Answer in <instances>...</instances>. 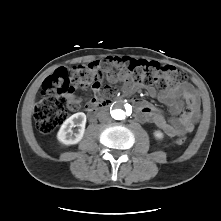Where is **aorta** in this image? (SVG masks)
Wrapping results in <instances>:
<instances>
[{"mask_svg": "<svg viewBox=\"0 0 221 221\" xmlns=\"http://www.w3.org/2000/svg\"><path fill=\"white\" fill-rule=\"evenodd\" d=\"M111 116L115 120H124L127 116V110H125L124 105L122 104L114 105L111 111Z\"/></svg>", "mask_w": 221, "mask_h": 221, "instance_id": "1", "label": "aorta"}]
</instances>
